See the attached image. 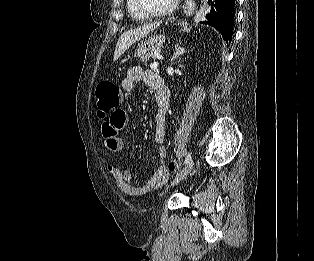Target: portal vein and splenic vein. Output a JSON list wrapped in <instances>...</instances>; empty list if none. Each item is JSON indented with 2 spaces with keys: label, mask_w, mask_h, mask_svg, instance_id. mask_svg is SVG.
<instances>
[{
  "label": "portal vein and splenic vein",
  "mask_w": 314,
  "mask_h": 261,
  "mask_svg": "<svg viewBox=\"0 0 314 261\" xmlns=\"http://www.w3.org/2000/svg\"><path fill=\"white\" fill-rule=\"evenodd\" d=\"M158 59H162V57L158 56ZM158 65H159L158 62H153V63H151L150 68L153 70H156Z\"/></svg>",
  "instance_id": "portal-vein-and-splenic-vein-1"
}]
</instances>
